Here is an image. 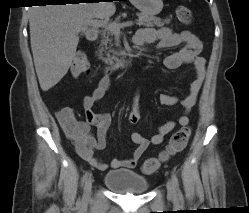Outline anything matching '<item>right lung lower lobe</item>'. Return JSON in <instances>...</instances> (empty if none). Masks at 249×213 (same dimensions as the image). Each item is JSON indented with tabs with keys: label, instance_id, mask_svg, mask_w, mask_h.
<instances>
[{
	"label": "right lung lower lobe",
	"instance_id": "98d812e1",
	"mask_svg": "<svg viewBox=\"0 0 249 213\" xmlns=\"http://www.w3.org/2000/svg\"><path fill=\"white\" fill-rule=\"evenodd\" d=\"M109 1H113V0H109ZM45 2L55 3L58 5L59 4H66V3H78L79 4L80 0H45Z\"/></svg>",
	"mask_w": 249,
	"mask_h": 213
}]
</instances>
